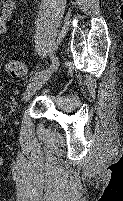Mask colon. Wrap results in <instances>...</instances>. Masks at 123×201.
I'll return each instance as SVG.
<instances>
[{
  "mask_svg": "<svg viewBox=\"0 0 123 201\" xmlns=\"http://www.w3.org/2000/svg\"><path fill=\"white\" fill-rule=\"evenodd\" d=\"M4 71L11 76H21L25 72V67L18 60H9L4 64Z\"/></svg>",
  "mask_w": 123,
  "mask_h": 201,
  "instance_id": "colon-1",
  "label": "colon"
}]
</instances>
